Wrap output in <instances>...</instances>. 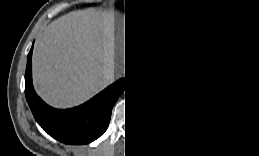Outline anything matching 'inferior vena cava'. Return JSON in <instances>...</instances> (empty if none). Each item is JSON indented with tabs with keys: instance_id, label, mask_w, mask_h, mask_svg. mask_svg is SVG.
<instances>
[{
	"instance_id": "602c4592",
	"label": "inferior vena cava",
	"mask_w": 259,
	"mask_h": 156,
	"mask_svg": "<svg viewBox=\"0 0 259 156\" xmlns=\"http://www.w3.org/2000/svg\"><path fill=\"white\" fill-rule=\"evenodd\" d=\"M121 75V72L119 71H114L110 73L111 78L119 77Z\"/></svg>"
}]
</instances>
